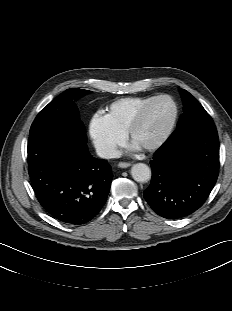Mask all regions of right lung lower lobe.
Listing matches in <instances>:
<instances>
[{"mask_svg": "<svg viewBox=\"0 0 232 311\" xmlns=\"http://www.w3.org/2000/svg\"><path fill=\"white\" fill-rule=\"evenodd\" d=\"M28 168L42 207L67 224L93 219L106 202L111 166L88 152L77 132L57 128L29 136Z\"/></svg>", "mask_w": 232, "mask_h": 311, "instance_id": "right-lung-lower-lobe-1", "label": "right lung lower lobe"}]
</instances>
